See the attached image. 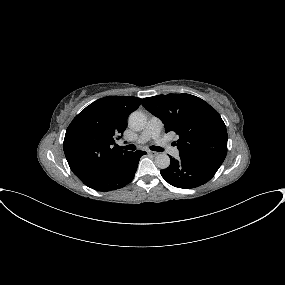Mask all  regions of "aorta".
<instances>
[{"label": "aorta", "mask_w": 285, "mask_h": 285, "mask_svg": "<svg viewBox=\"0 0 285 285\" xmlns=\"http://www.w3.org/2000/svg\"><path fill=\"white\" fill-rule=\"evenodd\" d=\"M129 126L135 131H141L147 124V117L139 111L133 112L128 119ZM155 164L160 169H166L170 165V158L167 154L161 153L155 157Z\"/></svg>", "instance_id": "1"}]
</instances>
